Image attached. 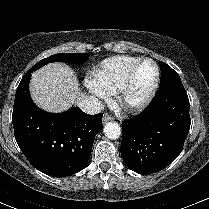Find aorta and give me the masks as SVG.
Masks as SVG:
<instances>
[{
  "label": "aorta",
  "mask_w": 209,
  "mask_h": 209,
  "mask_svg": "<svg viewBox=\"0 0 209 209\" xmlns=\"http://www.w3.org/2000/svg\"><path fill=\"white\" fill-rule=\"evenodd\" d=\"M104 134L109 139H117L121 135V127L116 122H109L104 127Z\"/></svg>",
  "instance_id": "obj_1"
}]
</instances>
